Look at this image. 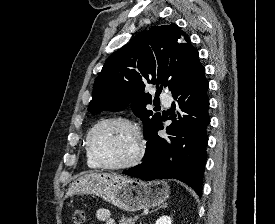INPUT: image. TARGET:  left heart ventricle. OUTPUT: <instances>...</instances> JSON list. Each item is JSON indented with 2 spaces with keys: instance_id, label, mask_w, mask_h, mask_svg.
I'll return each instance as SVG.
<instances>
[{
  "instance_id": "left-heart-ventricle-1",
  "label": "left heart ventricle",
  "mask_w": 275,
  "mask_h": 224,
  "mask_svg": "<svg viewBox=\"0 0 275 224\" xmlns=\"http://www.w3.org/2000/svg\"><path fill=\"white\" fill-rule=\"evenodd\" d=\"M92 143L97 155L109 164L124 163L136 152V139L132 130L119 122L102 125L95 132Z\"/></svg>"
}]
</instances>
